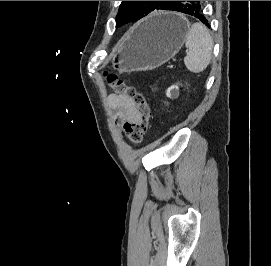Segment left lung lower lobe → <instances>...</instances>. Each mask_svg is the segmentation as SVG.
<instances>
[{
  "label": "left lung lower lobe",
  "mask_w": 271,
  "mask_h": 266,
  "mask_svg": "<svg viewBox=\"0 0 271 266\" xmlns=\"http://www.w3.org/2000/svg\"><path fill=\"white\" fill-rule=\"evenodd\" d=\"M168 10L192 15L209 27L208 20L202 12L200 1H175V3Z\"/></svg>",
  "instance_id": "0a47b994"
}]
</instances>
